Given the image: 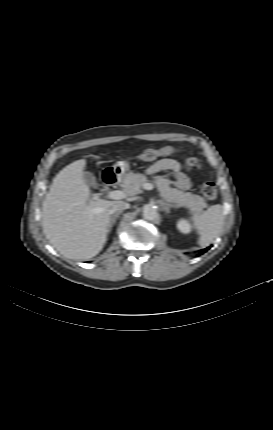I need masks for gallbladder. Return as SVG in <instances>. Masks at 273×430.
Listing matches in <instances>:
<instances>
[{"mask_svg":"<svg viewBox=\"0 0 273 430\" xmlns=\"http://www.w3.org/2000/svg\"><path fill=\"white\" fill-rule=\"evenodd\" d=\"M84 179L89 187H95L97 185L95 176L90 172H84Z\"/></svg>","mask_w":273,"mask_h":430,"instance_id":"obj_1","label":"gallbladder"}]
</instances>
